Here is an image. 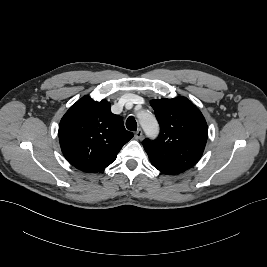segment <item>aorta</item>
<instances>
[{
  "mask_svg": "<svg viewBox=\"0 0 267 267\" xmlns=\"http://www.w3.org/2000/svg\"><path fill=\"white\" fill-rule=\"evenodd\" d=\"M140 124L148 135H153L158 131V123L153 115L144 112L139 116Z\"/></svg>",
  "mask_w": 267,
  "mask_h": 267,
  "instance_id": "1",
  "label": "aorta"
}]
</instances>
